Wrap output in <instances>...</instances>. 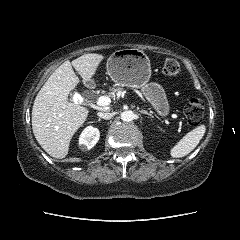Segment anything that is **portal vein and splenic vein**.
<instances>
[{"label":"portal vein and splenic vein","instance_id":"obj_1","mask_svg":"<svg viewBox=\"0 0 240 240\" xmlns=\"http://www.w3.org/2000/svg\"><path fill=\"white\" fill-rule=\"evenodd\" d=\"M97 105L99 106H107L111 103V99L107 96H100L98 99H97ZM172 118H178V115L177 114H172L171 115Z\"/></svg>","mask_w":240,"mask_h":240}]
</instances>
